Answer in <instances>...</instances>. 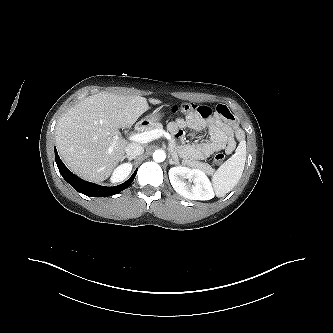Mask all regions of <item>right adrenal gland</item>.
Instances as JSON below:
<instances>
[{"instance_id": "1", "label": "right adrenal gland", "mask_w": 333, "mask_h": 333, "mask_svg": "<svg viewBox=\"0 0 333 333\" xmlns=\"http://www.w3.org/2000/svg\"><path fill=\"white\" fill-rule=\"evenodd\" d=\"M126 158L128 159V161H131V160L135 159L136 157H131V156L126 155V156H124L123 159H126Z\"/></svg>"}]
</instances>
